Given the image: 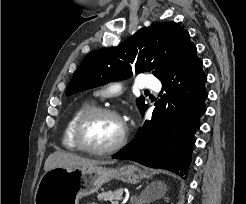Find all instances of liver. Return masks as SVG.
<instances>
[{
  "instance_id": "liver-1",
  "label": "liver",
  "mask_w": 246,
  "mask_h": 204,
  "mask_svg": "<svg viewBox=\"0 0 246 204\" xmlns=\"http://www.w3.org/2000/svg\"><path fill=\"white\" fill-rule=\"evenodd\" d=\"M114 161H99L80 157L72 153H66L63 151H55L51 153L44 164V171L47 172L50 169L56 167H78V166H92V165H105L113 164Z\"/></svg>"
}]
</instances>
